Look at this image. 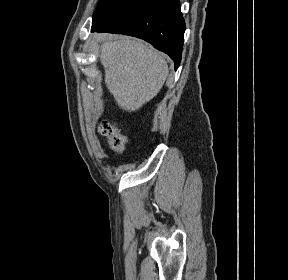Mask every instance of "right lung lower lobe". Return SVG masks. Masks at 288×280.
<instances>
[{
  "label": "right lung lower lobe",
  "instance_id": "obj_1",
  "mask_svg": "<svg viewBox=\"0 0 288 280\" xmlns=\"http://www.w3.org/2000/svg\"><path fill=\"white\" fill-rule=\"evenodd\" d=\"M91 31L144 39L179 67L185 32L179 0H121L93 20Z\"/></svg>",
  "mask_w": 288,
  "mask_h": 280
}]
</instances>
